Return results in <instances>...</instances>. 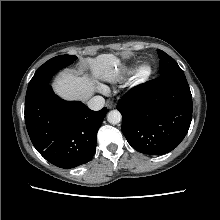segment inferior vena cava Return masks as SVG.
Masks as SVG:
<instances>
[{"mask_svg":"<svg viewBox=\"0 0 220 220\" xmlns=\"http://www.w3.org/2000/svg\"><path fill=\"white\" fill-rule=\"evenodd\" d=\"M105 100L102 96H94L92 97L87 105L91 110H100L104 107Z\"/></svg>","mask_w":220,"mask_h":220,"instance_id":"1","label":"inferior vena cava"}]
</instances>
